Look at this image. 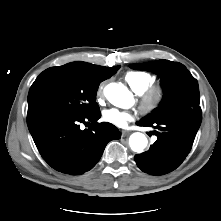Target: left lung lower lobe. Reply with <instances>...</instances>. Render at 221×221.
<instances>
[{
  "mask_svg": "<svg viewBox=\"0 0 221 221\" xmlns=\"http://www.w3.org/2000/svg\"><path fill=\"white\" fill-rule=\"evenodd\" d=\"M202 120L201 108L193 113H179L154 121L141 120L139 126L154 127L157 141L148 151L135 155L137 166L145 173L163 175L176 169L191 150Z\"/></svg>",
  "mask_w": 221,
  "mask_h": 221,
  "instance_id": "obj_1",
  "label": "left lung lower lobe"
}]
</instances>
